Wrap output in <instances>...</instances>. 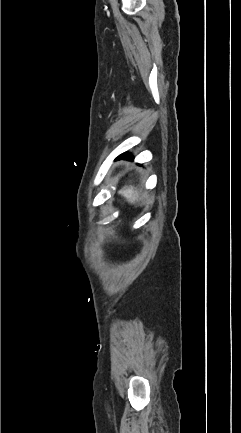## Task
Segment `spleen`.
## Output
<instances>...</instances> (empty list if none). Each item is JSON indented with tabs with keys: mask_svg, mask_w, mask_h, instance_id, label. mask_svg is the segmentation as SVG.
<instances>
[{
	"mask_svg": "<svg viewBox=\"0 0 241 433\" xmlns=\"http://www.w3.org/2000/svg\"><path fill=\"white\" fill-rule=\"evenodd\" d=\"M119 194H121L123 197H125L130 203H135L139 198V194H138L136 188L132 185L124 186L119 191Z\"/></svg>",
	"mask_w": 241,
	"mask_h": 433,
	"instance_id": "3e777b00",
	"label": "spleen"
}]
</instances>
